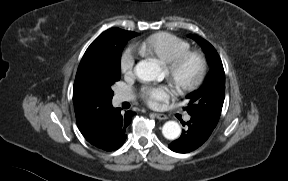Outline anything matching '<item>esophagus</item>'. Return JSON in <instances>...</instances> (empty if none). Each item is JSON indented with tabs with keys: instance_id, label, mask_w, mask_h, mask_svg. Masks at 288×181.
Masks as SVG:
<instances>
[{
	"instance_id": "1",
	"label": "esophagus",
	"mask_w": 288,
	"mask_h": 181,
	"mask_svg": "<svg viewBox=\"0 0 288 181\" xmlns=\"http://www.w3.org/2000/svg\"><path fill=\"white\" fill-rule=\"evenodd\" d=\"M153 114L159 120H166L168 118L165 114L162 113H153Z\"/></svg>"
}]
</instances>
